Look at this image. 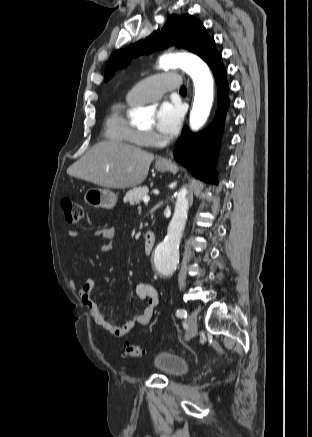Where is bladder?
<instances>
[{
    "label": "bladder",
    "instance_id": "bladder-1",
    "mask_svg": "<svg viewBox=\"0 0 312 437\" xmlns=\"http://www.w3.org/2000/svg\"><path fill=\"white\" fill-rule=\"evenodd\" d=\"M152 366L168 379H177L189 372V365L183 358L165 350L153 355Z\"/></svg>",
    "mask_w": 312,
    "mask_h": 437
}]
</instances>
